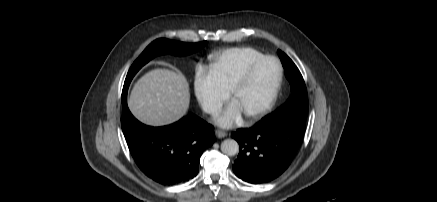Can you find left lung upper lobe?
Wrapping results in <instances>:
<instances>
[{
    "mask_svg": "<svg viewBox=\"0 0 437 202\" xmlns=\"http://www.w3.org/2000/svg\"><path fill=\"white\" fill-rule=\"evenodd\" d=\"M278 55L284 67L286 78L288 79L292 94L288 101L277 111L264 118L274 117L283 114H295L302 119L307 118L308 95L303 77L293 61L282 51L278 50Z\"/></svg>",
    "mask_w": 437,
    "mask_h": 202,
    "instance_id": "5c2ea615",
    "label": "left lung upper lobe"
}]
</instances>
